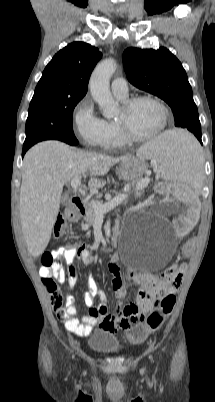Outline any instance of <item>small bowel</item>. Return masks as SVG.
Here are the masks:
<instances>
[{
    "label": "small bowel",
    "mask_w": 215,
    "mask_h": 402,
    "mask_svg": "<svg viewBox=\"0 0 215 402\" xmlns=\"http://www.w3.org/2000/svg\"><path fill=\"white\" fill-rule=\"evenodd\" d=\"M57 262L53 267L42 266L40 268V276L45 278L56 279L60 283L67 282L69 288H73L76 283L75 268L70 267V272L67 273L62 265L64 260L67 263H72L75 258H80L81 261L89 265L93 263L94 257L86 246L74 245L72 250H65L64 247H59L53 252ZM109 270L114 275L112 288L116 292L118 298H124L125 290L122 288V279L119 274L118 259L115 257L109 263ZM134 283L140 286L136 302L121 310H118L114 315L108 313L107 295L104 290L98 287L95 279L89 275L87 277L88 291L84 296V302L89 307L88 315L81 319L76 317L78 313L77 302L73 296H67L66 308L58 312V319L64 323L65 328L80 337L88 336L93 327L97 324L101 328L114 332L118 329H130L136 321L142 320L144 314L149 312L154 304V301L166 295H173L178 291L182 279L183 270L176 276L157 277L146 272H130ZM99 298V304L95 306V298Z\"/></svg>",
    "instance_id": "obj_1"
}]
</instances>
